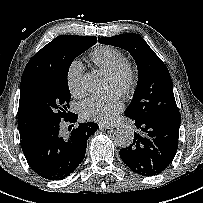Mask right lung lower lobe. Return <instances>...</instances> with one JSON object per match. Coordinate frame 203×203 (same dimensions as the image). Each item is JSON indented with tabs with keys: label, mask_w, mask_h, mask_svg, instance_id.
I'll use <instances>...</instances> for the list:
<instances>
[{
	"label": "right lung lower lobe",
	"mask_w": 203,
	"mask_h": 203,
	"mask_svg": "<svg viewBox=\"0 0 203 203\" xmlns=\"http://www.w3.org/2000/svg\"><path fill=\"white\" fill-rule=\"evenodd\" d=\"M77 118L78 115L72 113L64 121L75 123ZM98 128L97 123H80L69 136H64L59 123L40 134L22 139L21 147L29 166L39 176L62 180L83 161L87 140Z\"/></svg>",
	"instance_id": "98d812e1"
}]
</instances>
